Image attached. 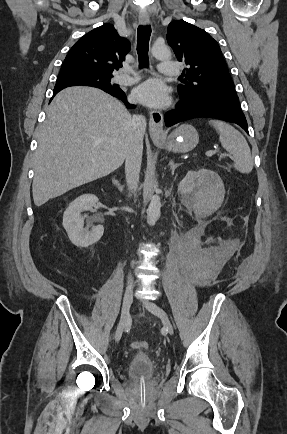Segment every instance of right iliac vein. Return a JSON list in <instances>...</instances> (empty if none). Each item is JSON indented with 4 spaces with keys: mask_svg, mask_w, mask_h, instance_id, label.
I'll return each mask as SVG.
<instances>
[{
    "mask_svg": "<svg viewBox=\"0 0 287 434\" xmlns=\"http://www.w3.org/2000/svg\"><path fill=\"white\" fill-rule=\"evenodd\" d=\"M133 300V285L129 284L125 290L124 297H123V303H122V309H121V319L120 323L116 329L115 334V341L118 342L123 334V331L126 327V324L129 320V312L130 307Z\"/></svg>",
    "mask_w": 287,
    "mask_h": 434,
    "instance_id": "right-iliac-vein-1",
    "label": "right iliac vein"
}]
</instances>
